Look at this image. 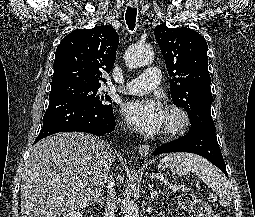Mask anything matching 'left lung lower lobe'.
I'll return each instance as SVG.
<instances>
[{
  "instance_id": "1",
  "label": "left lung lower lobe",
  "mask_w": 255,
  "mask_h": 217,
  "mask_svg": "<svg viewBox=\"0 0 255 217\" xmlns=\"http://www.w3.org/2000/svg\"><path fill=\"white\" fill-rule=\"evenodd\" d=\"M170 152H189L200 155L228 176L217 142L214 123L203 122L192 126L186 135L169 144L161 145L153 152V155Z\"/></svg>"
}]
</instances>
